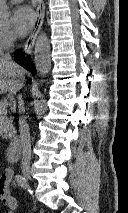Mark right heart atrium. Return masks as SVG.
I'll use <instances>...</instances> for the list:
<instances>
[{
	"mask_svg": "<svg viewBox=\"0 0 128 213\" xmlns=\"http://www.w3.org/2000/svg\"><path fill=\"white\" fill-rule=\"evenodd\" d=\"M15 43V36L12 32L0 29V53L9 49Z\"/></svg>",
	"mask_w": 128,
	"mask_h": 213,
	"instance_id": "obj_1",
	"label": "right heart atrium"
}]
</instances>
